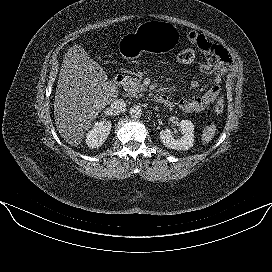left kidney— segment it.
<instances>
[{"instance_id": "1", "label": "left kidney", "mask_w": 272, "mask_h": 272, "mask_svg": "<svg viewBox=\"0 0 272 272\" xmlns=\"http://www.w3.org/2000/svg\"><path fill=\"white\" fill-rule=\"evenodd\" d=\"M179 125L183 132V136L180 139H174L169 129L160 131V139L170 149L185 151L193 147L194 124L189 120H182Z\"/></svg>"}]
</instances>
